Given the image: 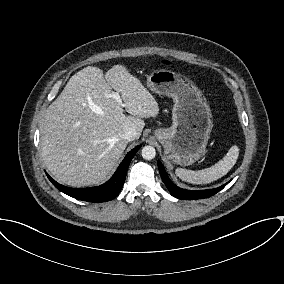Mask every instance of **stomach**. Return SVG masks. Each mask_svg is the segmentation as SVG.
I'll return each mask as SVG.
<instances>
[{
  "instance_id": "0dacf381",
  "label": "stomach",
  "mask_w": 284,
  "mask_h": 284,
  "mask_svg": "<svg viewBox=\"0 0 284 284\" xmlns=\"http://www.w3.org/2000/svg\"><path fill=\"white\" fill-rule=\"evenodd\" d=\"M147 86L173 98L172 126L154 130L167 160L191 165L204 154L213 127L212 113L202 92L185 76L171 70L153 71Z\"/></svg>"
}]
</instances>
